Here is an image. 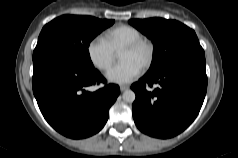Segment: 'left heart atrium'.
Here are the masks:
<instances>
[{"instance_id":"1","label":"left heart atrium","mask_w":238,"mask_h":158,"mask_svg":"<svg viewBox=\"0 0 238 158\" xmlns=\"http://www.w3.org/2000/svg\"><path fill=\"white\" fill-rule=\"evenodd\" d=\"M141 71V67L132 61H121L111 67L106 77L110 82L125 84L134 80Z\"/></svg>"}]
</instances>
